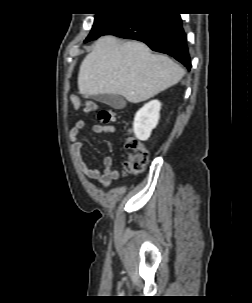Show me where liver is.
Here are the masks:
<instances>
[{
  "label": "liver",
  "instance_id": "obj_1",
  "mask_svg": "<svg viewBox=\"0 0 252 303\" xmlns=\"http://www.w3.org/2000/svg\"><path fill=\"white\" fill-rule=\"evenodd\" d=\"M184 74L180 65L165 55L152 54L141 42L104 36L82 61L78 88L86 97L117 94L139 103L177 84Z\"/></svg>",
  "mask_w": 252,
  "mask_h": 303
}]
</instances>
